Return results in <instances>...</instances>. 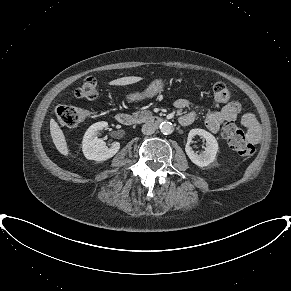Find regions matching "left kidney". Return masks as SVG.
I'll list each match as a JSON object with an SVG mask.
<instances>
[{
  "label": "left kidney",
  "mask_w": 291,
  "mask_h": 291,
  "mask_svg": "<svg viewBox=\"0 0 291 291\" xmlns=\"http://www.w3.org/2000/svg\"><path fill=\"white\" fill-rule=\"evenodd\" d=\"M196 135L202 136L206 140L205 151L201 154H196L190 147L192 138ZM185 151L189 159L199 167H206L215 160L218 152V143L216 138L206 130L203 129H192L188 134L187 144Z\"/></svg>",
  "instance_id": "5707ae66"
}]
</instances>
